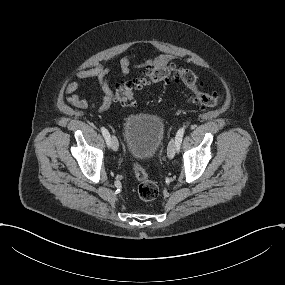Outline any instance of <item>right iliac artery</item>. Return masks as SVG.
<instances>
[{"mask_svg":"<svg viewBox=\"0 0 285 285\" xmlns=\"http://www.w3.org/2000/svg\"><path fill=\"white\" fill-rule=\"evenodd\" d=\"M100 129H101L102 135L104 136L106 140L107 145H109L110 144V134L108 130L104 127H101Z\"/></svg>","mask_w":285,"mask_h":285,"instance_id":"obj_1","label":"right iliac artery"}]
</instances>
